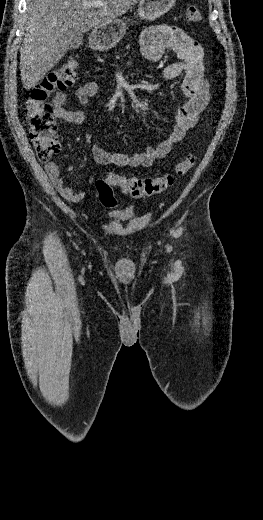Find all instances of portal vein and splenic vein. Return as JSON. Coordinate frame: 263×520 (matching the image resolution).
<instances>
[{
  "label": "portal vein and splenic vein",
  "mask_w": 263,
  "mask_h": 520,
  "mask_svg": "<svg viewBox=\"0 0 263 520\" xmlns=\"http://www.w3.org/2000/svg\"><path fill=\"white\" fill-rule=\"evenodd\" d=\"M102 5H103V3H101L100 1L87 4V6H89V7H100Z\"/></svg>",
  "instance_id": "obj_1"
}]
</instances>
